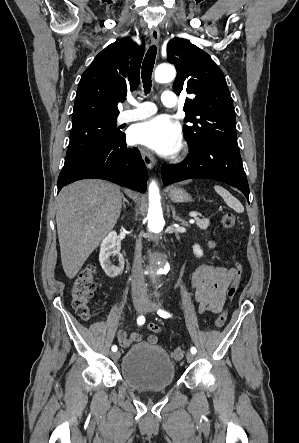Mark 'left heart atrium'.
I'll return each instance as SVG.
<instances>
[{
	"label": "left heart atrium",
	"mask_w": 299,
	"mask_h": 443,
	"mask_svg": "<svg viewBox=\"0 0 299 443\" xmlns=\"http://www.w3.org/2000/svg\"><path fill=\"white\" fill-rule=\"evenodd\" d=\"M130 140L153 148L163 155H172L181 145L180 128L166 116H158L134 126Z\"/></svg>",
	"instance_id": "1"
}]
</instances>
